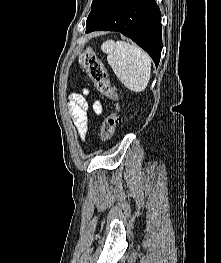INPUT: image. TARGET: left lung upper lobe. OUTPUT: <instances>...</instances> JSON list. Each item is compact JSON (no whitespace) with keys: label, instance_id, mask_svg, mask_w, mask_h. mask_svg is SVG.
<instances>
[{"label":"left lung upper lobe","instance_id":"1","mask_svg":"<svg viewBox=\"0 0 221 263\" xmlns=\"http://www.w3.org/2000/svg\"><path fill=\"white\" fill-rule=\"evenodd\" d=\"M101 0H93L91 8H93L94 6H96Z\"/></svg>","mask_w":221,"mask_h":263}]
</instances>
